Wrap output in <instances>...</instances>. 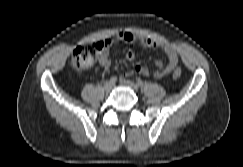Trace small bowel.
I'll use <instances>...</instances> for the list:
<instances>
[{"label":"small bowel","instance_id":"c3829d8e","mask_svg":"<svg viewBox=\"0 0 243 167\" xmlns=\"http://www.w3.org/2000/svg\"><path fill=\"white\" fill-rule=\"evenodd\" d=\"M118 42L134 43L143 48H158L164 51V53L166 54V60L156 61L154 64V68L137 65L133 70L123 74L122 80H125L126 78L134 74H142L145 76L153 74L157 78H162L170 74L177 67L178 56L175 48L170 44L164 41L135 35L129 31H120L116 33L113 37L107 38L104 41L103 48L98 53V63L102 68H110V48L113 44ZM125 59L128 61H133L135 59V53L131 50L127 51L125 53Z\"/></svg>","mask_w":243,"mask_h":167}]
</instances>
